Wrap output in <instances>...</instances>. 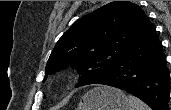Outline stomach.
<instances>
[{
  "label": "stomach",
  "instance_id": "stomach-1",
  "mask_svg": "<svg viewBox=\"0 0 171 110\" xmlns=\"http://www.w3.org/2000/svg\"><path fill=\"white\" fill-rule=\"evenodd\" d=\"M125 94L111 87H96L80 100L77 110H129Z\"/></svg>",
  "mask_w": 171,
  "mask_h": 110
}]
</instances>
